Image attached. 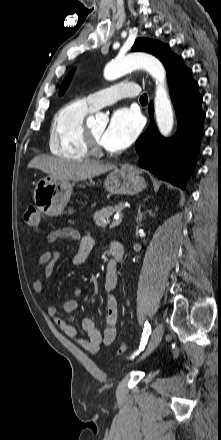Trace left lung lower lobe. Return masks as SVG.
<instances>
[{
    "label": "left lung lower lobe",
    "instance_id": "obj_1",
    "mask_svg": "<svg viewBox=\"0 0 221 440\" xmlns=\"http://www.w3.org/2000/svg\"><path fill=\"white\" fill-rule=\"evenodd\" d=\"M163 65L167 71L178 130L173 138H163L151 121L135 144L139 154L138 165L184 189L186 179L193 172L200 139L204 134L205 113L201 108L198 84L192 79V71L183 65L182 57L169 53ZM149 113L152 117V103Z\"/></svg>",
    "mask_w": 221,
    "mask_h": 440
}]
</instances>
